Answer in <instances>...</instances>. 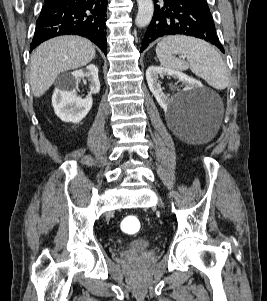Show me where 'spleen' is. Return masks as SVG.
I'll return each instance as SVG.
<instances>
[{
	"label": "spleen",
	"instance_id": "3e777b00",
	"mask_svg": "<svg viewBox=\"0 0 267 301\" xmlns=\"http://www.w3.org/2000/svg\"><path fill=\"white\" fill-rule=\"evenodd\" d=\"M176 54H184L187 60L176 58ZM156 55L161 65L167 69H190L217 90L228 86L226 64L218 51L204 40L185 35L168 36L157 44Z\"/></svg>",
	"mask_w": 267,
	"mask_h": 301
}]
</instances>
